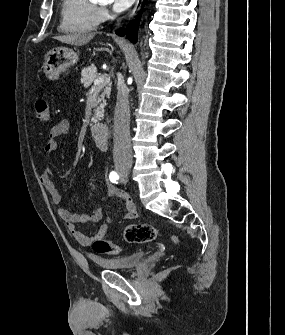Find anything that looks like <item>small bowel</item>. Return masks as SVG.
Returning a JSON list of instances; mask_svg holds the SVG:
<instances>
[{
    "label": "small bowel",
    "instance_id": "1",
    "mask_svg": "<svg viewBox=\"0 0 285 335\" xmlns=\"http://www.w3.org/2000/svg\"><path fill=\"white\" fill-rule=\"evenodd\" d=\"M70 132V122L66 119H62L54 124L49 130L47 141L44 146V150L48 154H52L56 148V138L69 134ZM53 170L51 167L44 168L40 174L39 178L48 192L52 202L59 206L57 213L59 217L66 223V226L74 237V239L82 246H91L93 241L98 237H104L108 231L109 225L111 223V218L106 214L103 207L98 206L94 208L90 213H73L69 209L61 207V195L55 186L53 180ZM104 176L107 179L108 170H104ZM117 197L124 202L125 214L124 218L132 220L137 218L138 213L136 206L130 196L117 188H115L110 183H106V192L102 196L101 201L104 202L109 198ZM88 222L98 223L101 222L99 231L95 235H89L81 232L78 228V224H84Z\"/></svg>",
    "mask_w": 285,
    "mask_h": 335
}]
</instances>
